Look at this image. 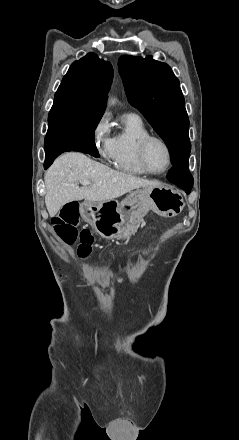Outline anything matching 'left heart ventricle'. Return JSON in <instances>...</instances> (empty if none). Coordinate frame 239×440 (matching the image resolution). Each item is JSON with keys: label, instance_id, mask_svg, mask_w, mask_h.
Returning a JSON list of instances; mask_svg holds the SVG:
<instances>
[{"label": "left heart ventricle", "instance_id": "obj_1", "mask_svg": "<svg viewBox=\"0 0 239 440\" xmlns=\"http://www.w3.org/2000/svg\"><path fill=\"white\" fill-rule=\"evenodd\" d=\"M147 160L153 171L161 172L165 170L168 164V155L165 147L160 142H151L147 149Z\"/></svg>", "mask_w": 239, "mask_h": 440}]
</instances>
